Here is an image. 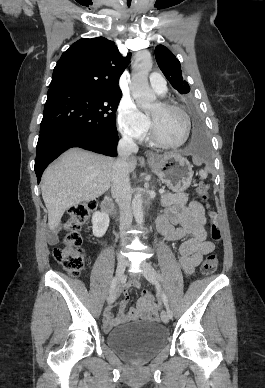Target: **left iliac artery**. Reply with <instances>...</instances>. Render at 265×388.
<instances>
[{"mask_svg": "<svg viewBox=\"0 0 265 388\" xmlns=\"http://www.w3.org/2000/svg\"><path fill=\"white\" fill-rule=\"evenodd\" d=\"M160 279L162 280V277L160 276ZM162 301L164 303V305L166 306V310H167V314L169 316V318H172L173 317V313L169 307V304H168V299H167V296L166 294L163 292L162 294Z\"/></svg>", "mask_w": 265, "mask_h": 388, "instance_id": "1", "label": "left iliac artery"}]
</instances>
